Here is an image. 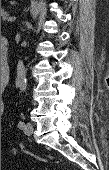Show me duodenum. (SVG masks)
<instances>
[{
  "mask_svg": "<svg viewBox=\"0 0 109 170\" xmlns=\"http://www.w3.org/2000/svg\"><path fill=\"white\" fill-rule=\"evenodd\" d=\"M1 53L5 64H7V43L6 40H1Z\"/></svg>",
  "mask_w": 109,
  "mask_h": 170,
  "instance_id": "410a0bca",
  "label": "duodenum"
}]
</instances>
